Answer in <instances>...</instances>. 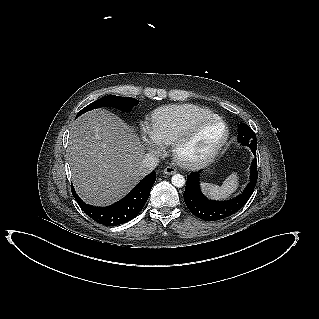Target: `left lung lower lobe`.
<instances>
[{
  "label": "left lung lower lobe",
  "mask_w": 319,
  "mask_h": 319,
  "mask_svg": "<svg viewBox=\"0 0 319 319\" xmlns=\"http://www.w3.org/2000/svg\"><path fill=\"white\" fill-rule=\"evenodd\" d=\"M256 157L257 147H250ZM250 182L245 190L235 199L229 201H212L207 199L200 190L199 172H192L187 176L184 192V201L192 214L206 221H217L227 218L240 210L250 198L257 182V162L254 159L251 165Z\"/></svg>",
  "instance_id": "1"
}]
</instances>
